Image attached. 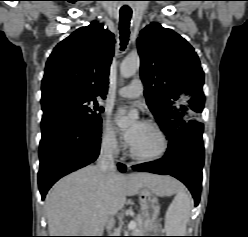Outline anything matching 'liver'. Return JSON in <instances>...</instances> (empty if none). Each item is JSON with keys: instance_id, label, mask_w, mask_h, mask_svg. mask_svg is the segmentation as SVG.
I'll return each mask as SVG.
<instances>
[{"instance_id": "6515ba94", "label": "liver", "mask_w": 248, "mask_h": 237, "mask_svg": "<svg viewBox=\"0 0 248 237\" xmlns=\"http://www.w3.org/2000/svg\"><path fill=\"white\" fill-rule=\"evenodd\" d=\"M178 183L149 173H103L90 165L59 180L46 196L50 236H101L107 221L123 209L126 197L143 188L159 193Z\"/></svg>"}]
</instances>
